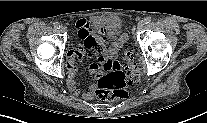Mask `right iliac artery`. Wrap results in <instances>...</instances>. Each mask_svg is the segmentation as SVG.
I'll return each mask as SVG.
<instances>
[{"label":"right iliac artery","instance_id":"82829eb1","mask_svg":"<svg viewBox=\"0 0 207 123\" xmlns=\"http://www.w3.org/2000/svg\"><path fill=\"white\" fill-rule=\"evenodd\" d=\"M54 27L57 28V29H59L60 28V24L58 22H55L54 23Z\"/></svg>","mask_w":207,"mask_h":123}]
</instances>
